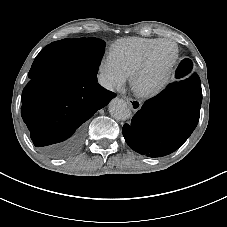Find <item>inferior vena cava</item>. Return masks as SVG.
Instances as JSON below:
<instances>
[{
  "label": "inferior vena cava",
  "mask_w": 227,
  "mask_h": 227,
  "mask_svg": "<svg viewBox=\"0 0 227 227\" xmlns=\"http://www.w3.org/2000/svg\"><path fill=\"white\" fill-rule=\"evenodd\" d=\"M98 81H99V84L102 87H104L105 89L110 90V91L114 90V86H113L112 82L109 80V78L106 75L99 74Z\"/></svg>",
  "instance_id": "obj_1"
}]
</instances>
